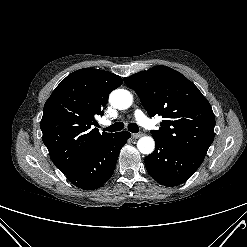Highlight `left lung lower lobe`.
<instances>
[{"instance_id":"obj_1","label":"left lung lower lobe","mask_w":247,"mask_h":247,"mask_svg":"<svg viewBox=\"0 0 247 247\" xmlns=\"http://www.w3.org/2000/svg\"><path fill=\"white\" fill-rule=\"evenodd\" d=\"M156 147L145 158L148 173L164 186H177L188 180L203 158L192 152L174 148L155 139Z\"/></svg>"}]
</instances>
